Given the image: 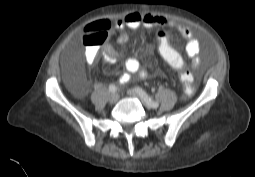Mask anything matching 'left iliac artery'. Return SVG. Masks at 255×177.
I'll return each instance as SVG.
<instances>
[{"label": "left iliac artery", "mask_w": 255, "mask_h": 177, "mask_svg": "<svg viewBox=\"0 0 255 177\" xmlns=\"http://www.w3.org/2000/svg\"><path fill=\"white\" fill-rule=\"evenodd\" d=\"M135 90L138 91V93L152 106V108H157L159 106V103L152 100L144 90L139 87H136Z\"/></svg>", "instance_id": "44dca946"}]
</instances>
